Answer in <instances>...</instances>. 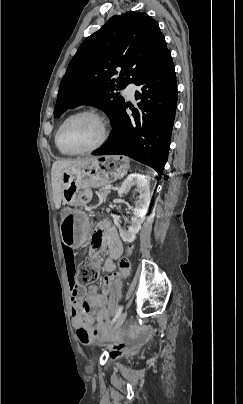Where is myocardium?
Returning a JSON list of instances; mask_svg holds the SVG:
<instances>
[{"label": "myocardium", "instance_id": "f54148a6", "mask_svg": "<svg viewBox=\"0 0 243 404\" xmlns=\"http://www.w3.org/2000/svg\"><path fill=\"white\" fill-rule=\"evenodd\" d=\"M80 115H92V116L96 117L97 119H99V121L102 124V136H101L100 140L95 145L85 148V149L66 146L63 143L62 137H61L62 130H63L64 126L67 124V122H69L72 118L80 116ZM57 134H58V141L61 146L65 147L67 150H69L71 152H74L77 154H83V153H91V152H94V151L100 149L106 143V141L108 139L109 131H108V124H107L104 116L94 109L86 108V109H81V110L75 111V112L71 113L70 115H68L59 125Z\"/></svg>", "mask_w": 243, "mask_h": 404}]
</instances>
